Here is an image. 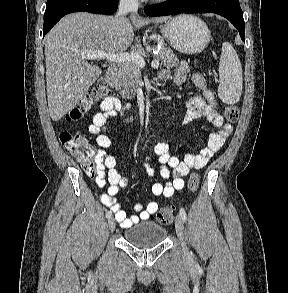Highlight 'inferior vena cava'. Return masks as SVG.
<instances>
[{
    "label": "inferior vena cava",
    "mask_w": 288,
    "mask_h": 293,
    "mask_svg": "<svg viewBox=\"0 0 288 293\" xmlns=\"http://www.w3.org/2000/svg\"><path fill=\"white\" fill-rule=\"evenodd\" d=\"M138 0H120L116 18L124 17L128 12H137Z\"/></svg>",
    "instance_id": "obj_1"
}]
</instances>
